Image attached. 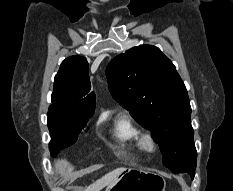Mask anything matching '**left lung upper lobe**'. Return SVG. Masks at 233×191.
<instances>
[{
	"label": "left lung upper lobe",
	"instance_id": "left-lung-upper-lobe-1",
	"mask_svg": "<svg viewBox=\"0 0 233 191\" xmlns=\"http://www.w3.org/2000/svg\"><path fill=\"white\" fill-rule=\"evenodd\" d=\"M113 98L152 132L171 171L196 166L186 87L173 63L152 45L136 46L107 66Z\"/></svg>",
	"mask_w": 233,
	"mask_h": 191
}]
</instances>
